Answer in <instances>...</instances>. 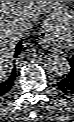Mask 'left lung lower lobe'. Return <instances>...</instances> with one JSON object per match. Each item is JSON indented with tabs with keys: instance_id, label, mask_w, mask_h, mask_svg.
Here are the masks:
<instances>
[{
	"instance_id": "0a47b994",
	"label": "left lung lower lobe",
	"mask_w": 74,
	"mask_h": 122,
	"mask_svg": "<svg viewBox=\"0 0 74 122\" xmlns=\"http://www.w3.org/2000/svg\"><path fill=\"white\" fill-rule=\"evenodd\" d=\"M71 72L57 83L58 89L65 94H74V56L70 61Z\"/></svg>"
}]
</instances>
